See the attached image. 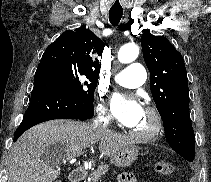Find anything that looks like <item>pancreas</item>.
Here are the masks:
<instances>
[{
    "label": "pancreas",
    "mask_w": 211,
    "mask_h": 182,
    "mask_svg": "<svg viewBox=\"0 0 211 182\" xmlns=\"http://www.w3.org/2000/svg\"><path fill=\"white\" fill-rule=\"evenodd\" d=\"M108 171V165L101 164L88 177V182H99L101 177Z\"/></svg>",
    "instance_id": "cf45deb5"
}]
</instances>
